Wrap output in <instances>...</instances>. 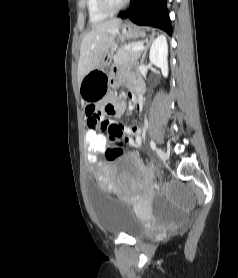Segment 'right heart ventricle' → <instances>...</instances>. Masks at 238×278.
Returning a JSON list of instances; mask_svg holds the SVG:
<instances>
[{
	"mask_svg": "<svg viewBox=\"0 0 238 278\" xmlns=\"http://www.w3.org/2000/svg\"><path fill=\"white\" fill-rule=\"evenodd\" d=\"M86 7L91 23L102 22L108 17V14L99 9L97 0H86Z\"/></svg>",
	"mask_w": 238,
	"mask_h": 278,
	"instance_id": "obj_1",
	"label": "right heart ventricle"
}]
</instances>
